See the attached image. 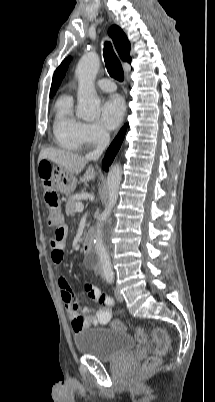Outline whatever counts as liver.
I'll use <instances>...</instances> for the list:
<instances>
[{"mask_svg": "<svg viewBox=\"0 0 215 402\" xmlns=\"http://www.w3.org/2000/svg\"><path fill=\"white\" fill-rule=\"evenodd\" d=\"M44 159L52 161L59 167L64 168L66 171L72 174L81 173L88 162V159H86V157L55 148L42 149L39 154L38 161L40 162ZM94 178V168L92 166H89L86 170V173L84 174L83 181L87 182L89 180H94Z\"/></svg>", "mask_w": 215, "mask_h": 402, "instance_id": "6515ba94", "label": "liver"}]
</instances>
